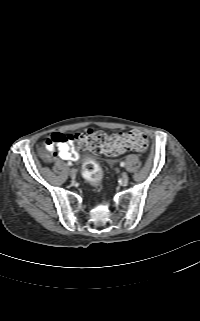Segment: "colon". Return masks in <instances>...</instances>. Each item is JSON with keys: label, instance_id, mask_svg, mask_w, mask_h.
Listing matches in <instances>:
<instances>
[{"label": "colon", "instance_id": "5ec220e1", "mask_svg": "<svg viewBox=\"0 0 200 321\" xmlns=\"http://www.w3.org/2000/svg\"><path fill=\"white\" fill-rule=\"evenodd\" d=\"M80 147L89 149L95 154L115 157L126 151L145 152L149 147L147 136L137 130L109 136L101 131L86 129L77 135ZM83 177L93 185H99L103 172L99 164L91 158L82 164Z\"/></svg>", "mask_w": 200, "mask_h": 321}]
</instances>
